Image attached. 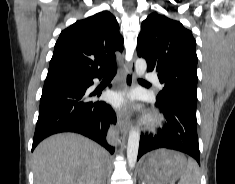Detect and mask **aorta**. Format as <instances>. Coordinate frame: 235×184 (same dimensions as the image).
Wrapping results in <instances>:
<instances>
[{
  "label": "aorta",
  "instance_id": "obj_1",
  "mask_svg": "<svg viewBox=\"0 0 235 184\" xmlns=\"http://www.w3.org/2000/svg\"><path fill=\"white\" fill-rule=\"evenodd\" d=\"M147 70L146 60L138 58L135 62V72L137 78H141ZM140 142V132L132 128L129 132L128 144H127V160L129 168H134L138 156Z\"/></svg>",
  "mask_w": 235,
  "mask_h": 184
}]
</instances>
